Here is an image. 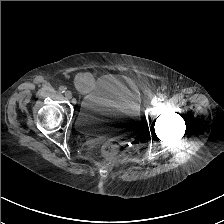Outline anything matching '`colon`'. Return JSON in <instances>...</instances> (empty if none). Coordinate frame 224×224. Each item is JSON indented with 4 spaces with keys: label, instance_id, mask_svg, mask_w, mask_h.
<instances>
[{
    "label": "colon",
    "instance_id": "colon-1",
    "mask_svg": "<svg viewBox=\"0 0 224 224\" xmlns=\"http://www.w3.org/2000/svg\"><path fill=\"white\" fill-rule=\"evenodd\" d=\"M92 82H93V78L88 74H84L77 79L76 86L79 90L86 91L90 89ZM118 152H119V148L114 143H105L102 146V153L105 156L113 157L117 155Z\"/></svg>",
    "mask_w": 224,
    "mask_h": 224
}]
</instances>
